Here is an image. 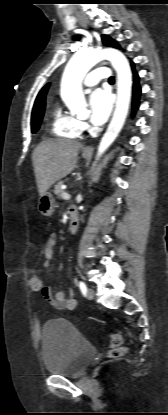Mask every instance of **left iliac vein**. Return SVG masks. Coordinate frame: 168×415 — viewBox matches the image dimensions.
<instances>
[{
    "instance_id": "1",
    "label": "left iliac vein",
    "mask_w": 168,
    "mask_h": 415,
    "mask_svg": "<svg viewBox=\"0 0 168 415\" xmlns=\"http://www.w3.org/2000/svg\"><path fill=\"white\" fill-rule=\"evenodd\" d=\"M86 296H87V298L88 299H93L94 298V296H95V291L92 289V288H88L87 289V293H86Z\"/></svg>"
}]
</instances>
